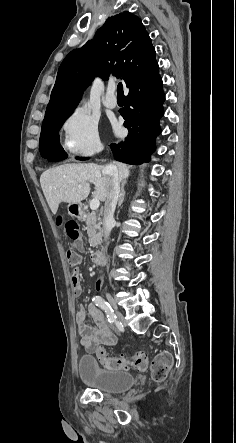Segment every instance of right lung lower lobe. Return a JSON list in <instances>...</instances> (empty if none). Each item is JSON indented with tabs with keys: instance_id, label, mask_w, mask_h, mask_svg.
Returning <instances> with one entry per match:
<instances>
[{
	"instance_id": "1",
	"label": "right lung lower lobe",
	"mask_w": 236,
	"mask_h": 443,
	"mask_svg": "<svg viewBox=\"0 0 236 443\" xmlns=\"http://www.w3.org/2000/svg\"><path fill=\"white\" fill-rule=\"evenodd\" d=\"M162 85L157 62L126 84L129 94L125 98V107L120 112L129 134L124 142L111 144L116 160L129 164H141L150 160L155 149V138L160 133L159 119L163 116L165 95ZM40 154L51 162L67 157L60 145L40 151Z\"/></svg>"
}]
</instances>
